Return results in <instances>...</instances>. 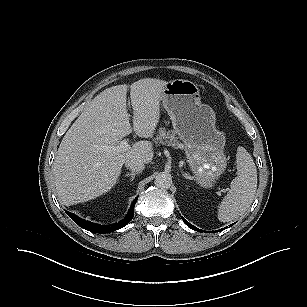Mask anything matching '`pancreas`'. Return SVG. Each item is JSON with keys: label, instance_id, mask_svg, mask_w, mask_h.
Wrapping results in <instances>:
<instances>
[{"label": "pancreas", "instance_id": "cf45deb5", "mask_svg": "<svg viewBox=\"0 0 307 307\" xmlns=\"http://www.w3.org/2000/svg\"><path fill=\"white\" fill-rule=\"evenodd\" d=\"M156 144L172 146L176 149H182L184 145L177 140L174 131H167L165 128H160L155 138Z\"/></svg>", "mask_w": 307, "mask_h": 307}]
</instances>
